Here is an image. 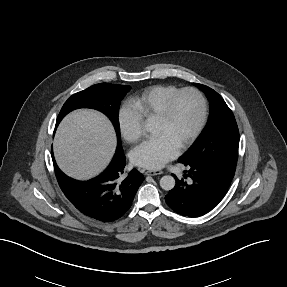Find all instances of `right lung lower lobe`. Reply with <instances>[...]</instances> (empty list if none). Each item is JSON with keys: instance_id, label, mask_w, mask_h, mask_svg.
I'll return each mask as SVG.
<instances>
[{"instance_id": "98d812e1", "label": "right lung lower lobe", "mask_w": 287, "mask_h": 287, "mask_svg": "<svg viewBox=\"0 0 287 287\" xmlns=\"http://www.w3.org/2000/svg\"><path fill=\"white\" fill-rule=\"evenodd\" d=\"M52 160L59 186L69 201L84 215L101 222H111L122 217L131 207L134 196L144 180L132 169L123 176L125 155L123 149L116 153L104 172L88 181H77L66 176Z\"/></svg>"}]
</instances>
